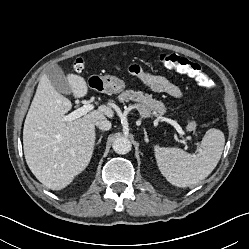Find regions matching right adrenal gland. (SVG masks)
I'll list each match as a JSON object with an SVG mask.
<instances>
[{
	"instance_id": "2a0ac1e0",
	"label": "right adrenal gland",
	"mask_w": 249,
	"mask_h": 249,
	"mask_svg": "<svg viewBox=\"0 0 249 249\" xmlns=\"http://www.w3.org/2000/svg\"><path fill=\"white\" fill-rule=\"evenodd\" d=\"M103 138V136L101 135L100 137H99V139H98V141H97V143L96 144H99L100 142H101V139Z\"/></svg>"
}]
</instances>
